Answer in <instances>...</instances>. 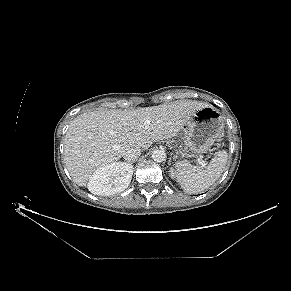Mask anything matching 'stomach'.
<instances>
[{
    "mask_svg": "<svg viewBox=\"0 0 291 291\" xmlns=\"http://www.w3.org/2000/svg\"><path fill=\"white\" fill-rule=\"evenodd\" d=\"M223 134V118L212 106L197 110L187 122L183 142L186 153L201 154L208 151Z\"/></svg>",
    "mask_w": 291,
    "mask_h": 291,
    "instance_id": "0dacf381",
    "label": "stomach"
}]
</instances>
